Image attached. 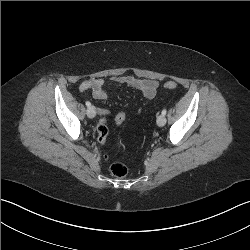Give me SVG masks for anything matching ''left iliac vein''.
Segmentation results:
<instances>
[{
    "label": "left iliac vein",
    "instance_id": "obj_1",
    "mask_svg": "<svg viewBox=\"0 0 250 250\" xmlns=\"http://www.w3.org/2000/svg\"><path fill=\"white\" fill-rule=\"evenodd\" d=\"M157 124L159 126H164L166 124V118H165L164 115L158 116V118H157Z\"/></svg>",
    "mask_w": 250,
    "mask_h": 250
}]
</instances>
